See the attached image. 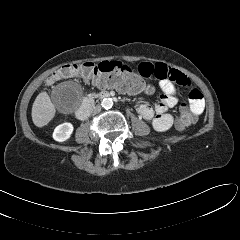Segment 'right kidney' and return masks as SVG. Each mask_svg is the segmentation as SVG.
Wrapping results in <instances>:
<instances>
[{
  "instance_id": "1",
  "label": "right kidney",
  "mask_w": 240,
  "mask_h": 240,
  "mask_svg": "<svg viewBox=\"0 0 240 240\" xmlns=\"http://www.w3.org/2000/svg\"><path fill=\"white\" fill-rule=\"evenodd\" d=\"M73 125L71 123H63L58 125L53 132L54 140L64 142L68 140L73 132Z\"/></svg>"
}]
</instances>
